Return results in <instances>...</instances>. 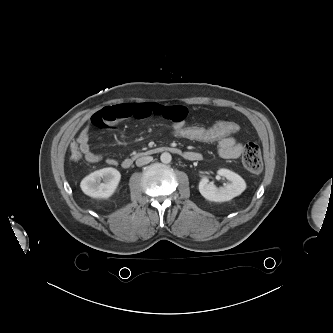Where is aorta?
I'll return each mask as SVG.
<instances>
[{
  "label": "aorta",
  "instance_id": "aorta-1",
  "mask_svg": "<svg viewBox=\"0 0 333 333\" xmlns=\"http://www.w3.org/2000/svg\"><path fill=\"white\" fill-rule=\"evenodd\" d=\"M160 160H161V162L167 164V163H170V162H171V160H172V156H171L170 153H168V152H164V153L161 154V156H160Z\"/></svg>",
  "mask_w": 333,
  "mask_h": 333
}]
</instances>
